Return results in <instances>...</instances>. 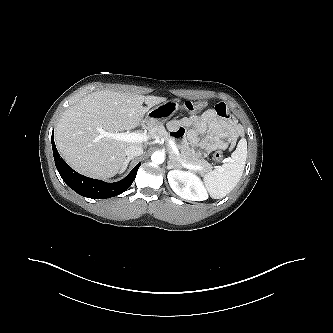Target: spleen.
<instances>
[{"mask_svg": "<svg viewBox=\"0 0 333 333\" xmlns=\"http://www.w3.org/2000/svg\"><path fill=\"white\" fill-rule=\"evenodd\" d=\"M246 158L247 141L242 138L228 163L204 175L206 187L212 198H223L236 187L243 174Z\"/></svg>", "mask_w": 333, "mask_h": 333, "instance_id": "spleen-1", "label": "spleen"}]
</instances>
